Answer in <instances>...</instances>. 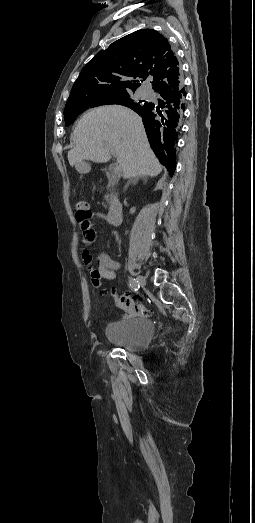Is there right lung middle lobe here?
Listing matches in <instances>:
<instances>
[{
  "instance_id": "obj_1",
  "label": "right lung middle lobe",
  "mask_w": 255,
  "mask_h": 523,
  "mask_svg": "<svg viewBox=\"0 0 255 523\" xmlns=\"http://www.w3.org/2000/svg\"><path fill=\"white\" fill-rule=\"evenodd\" d=\"M131 100V93H127L122 95L107 96L87 103L66 104L64 110L65 124L66 126L72 124L77 116L89 107H97L107 104L125 105Z\"/></svg>"
}]
</instances>
